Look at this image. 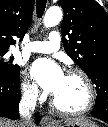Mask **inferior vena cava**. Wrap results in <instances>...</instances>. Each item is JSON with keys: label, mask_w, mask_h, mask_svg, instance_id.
I'll use <instances>...</instances> for the list:
<instances>
[{"label": "inferior vena cava", "mask_w": 108, "mask_h": 127, "mask_svg": "<svg viewBox=\"0 0 108 127\" xmlns=\"http://www.w3.org/2000/svg\"><path fill=\"white\" fill-rule=\"evenodd\" d=\"M37 89L30 88L27 89L20 100L19 103V113L21 116V127H32L33 119H32V112L36 106V99H37Z\"/></svg>", "instance_id": "1"}]
</instances>
